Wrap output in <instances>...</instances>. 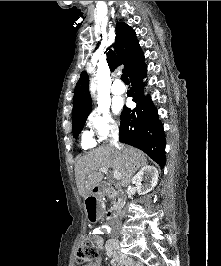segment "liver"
Masks as SVG:
<instances>
[{
  "label": "liver",
  "instance_id": "1",
  "mask_svg": "<svg viewBox=\"0 0 221 266\" xmlns=\"http://www.w3.org/2000/svg\"><path fill=\"white\" fill-rule=\"evenodd\" d=\"M147 165L145 154L130 146H121L120 149L112 145L99 147L78 159L75 165V180L78 192L84 199L89 189H94L103 179L101 167L117 170L121 174L119 186L127 187L133 175Z\"/></svg>",
  "mask_w": 221,
  "mask_h": 266
}]
</instances>
